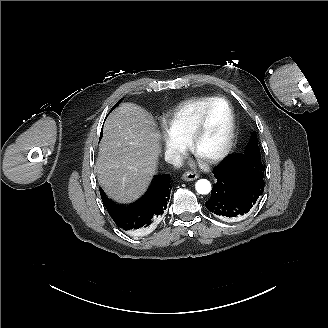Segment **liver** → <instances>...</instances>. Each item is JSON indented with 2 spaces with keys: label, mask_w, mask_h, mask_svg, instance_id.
I'll return each instance as SVG.
<instances>
[{
  "label": "liver",
  "mask_w": 328,
  "mask_h": 328,
  "mask_svg": "<svg viewBox=\"0 0 328 328\" xmlns=\"http://www.w3.org/2000/svg\"><path fill=\"white\" fill-rule=\"evenodd\" d=\"M160 133L151 114L122 104L108 118L95 167L105 192L120 203L138 198L156 172Z\"/></svg>",
  "instance_id": "1"
}]
</instances>
